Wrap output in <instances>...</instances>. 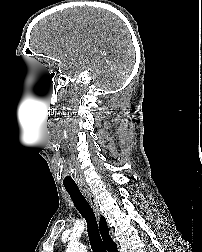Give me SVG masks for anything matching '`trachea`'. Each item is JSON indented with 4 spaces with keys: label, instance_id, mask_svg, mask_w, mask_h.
Wrapping results in <instances>:
<instances>
[{
    "label": "trachea",
    "instance_id": "1",
    "mask_svg": "<svg viewBox=\"0 0 202 252\" xmlns=\"http://www.w3.org/2000/svg\"><path fill=\"white\" fill-rule=\"evenodd\" d=\"M65 189L69 193L74 206L87 222L88 236L93 252H106L99 234L95 214L86 198L82 195L78 187H65Z\"/></svg>",
    "mask_w": 202,
    "mask_h": 252
}]
</instances>
